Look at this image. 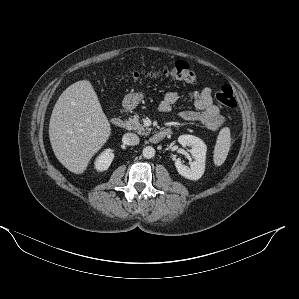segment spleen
Here are the masks:
<instances>
[{
    "mask_svg": "<svg viewBox=\"0 0 299 299\" xmlns=\"http://www.w3.org/2000/svg\"><path fill=\"white\" fill-rule=\"evenodd\" d=\"M231 146L230 129L224 127L220 130L214 148L213 160L216 166H221L227 158Z\"/></svg>",
    "mask_w": 299,
    "mask_h": 299,
    "instance_id": "1",
    "label": "spleen"
}]
</instances>
